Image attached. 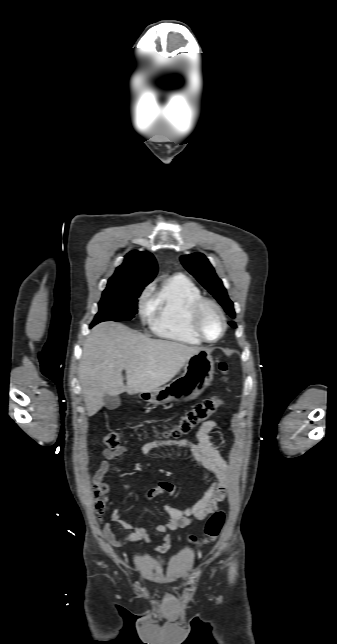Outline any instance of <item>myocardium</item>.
<instances>
[{
    "mask_svg": "<svg viewBox=\"0 0 337 644\" xmlns=\"http://www.w3.org/2000/svg\"><path fill=\"white\" fill-rule=\"evenodd\" d=\"M207 307H211L216 312L218 313L220 320H221V331L219 336L216 339H208L204 333L202 332L200 322H201V317L204 312V310ZM190 327L192 331L195 333V335L205 343H216L219 340L222 339L224 336L226 329H227V320L225 313L222 309V307L217 303L215 300L211 298H206V297H201L199 298L192 306L191 313H190Z\"/></svg>",
    "mask_w": 337,
    "mask_h": 644,
    "instance_id": "1",
    "label": "myocardium"
}]
</instances>
